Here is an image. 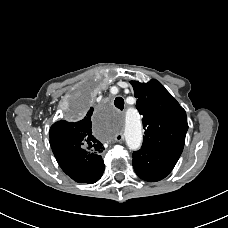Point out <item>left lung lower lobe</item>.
<instances>
[{"instance_id":"obj_1","label":"left lung lower lobe","mask_w":228,"mask_h":228,"mask_svg":"<svg viewBox=\"0 0 228 228\" xmlns=\"http://www.w3.org/2000/svg\"><path fill=\"white\" fill-rule=\"evenodd\" d=\"M180 155L152 147H141L133 153V167L141 179L156 182L172 171Z\"/></svg>"}]
</instances>
